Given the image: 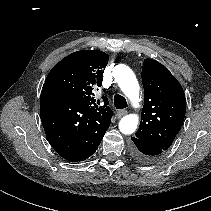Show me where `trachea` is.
<instances>
[{
	"label": "trachea",
	"instance_id": "obj_1",
	"mask_svg": "<svg viewBox=\"0 0 211 211\" xmlns=\"http://www.w3.org/2000/svg\"><path fill=\"white\" fill-rule=\"evenodd\" d=\"M114 105L117 109H124L128 106L126 99L122 95L114 96Z\"/></svg>",
	"mask_w": 211,
	"mask_h": 211
}]
</instances>
